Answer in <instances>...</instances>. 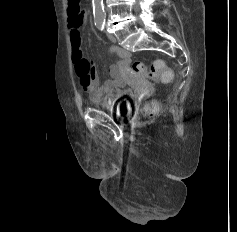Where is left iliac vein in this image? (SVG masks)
I'll return each mask as SVG.
<instances>
[{
    "label": "left iliac vein",
    "mask_w": 237,
    "mask_h": 232,
    "mask_svg": "<svg viewBox=\"0 0 237 232\" xmlns=\"http://www.w3.org/2000/svg\"><path fill=\"white\" fill-rule=\"evenodd\" d=\"M107 36H108V38H109L110 41H112V42H116V41H117V39H116V37H115L114 34L108 32V33H107Z\"/></svg>",
    "instance_id": "1"
}]
</instances>
